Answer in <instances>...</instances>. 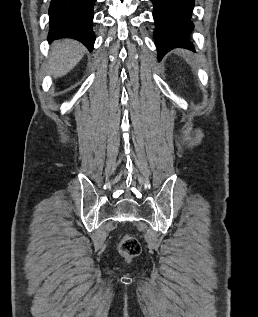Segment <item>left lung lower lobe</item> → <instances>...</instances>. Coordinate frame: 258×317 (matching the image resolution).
<instances>
[{"instance_id": "obj_1", "label": "left lung lower lobe", "mask_w": 258, "mask_h": 317, "mask_svg": "<svg viewBox=\"0 0 258 317\" xmlns=\"http://www.w3.org/2000/svg\"><path fill=\"white\" fill-rule=\"evenodd\" d=\"M154 6L155 43L159 60L174 48L194 51L188 38L193 30L191 15L195 0H150Z\"/></svg>"}]
</instances>
